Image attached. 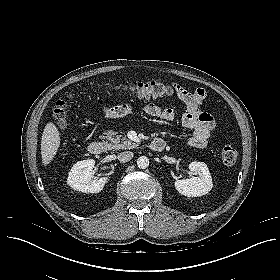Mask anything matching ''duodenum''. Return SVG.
Returning <instances> with one entry per match:
<instances>
[{"instance_id":"1","label":"duodenum","mask_w":280,"mask_h":280,"mask_svg":"<svg viewBox=\"0 0 280 280\" xmlns=\"http://www.w3.org/2000/svg\"><path fill=\"white\" fill-rule=\"evenodd\" d=\"M164 148L165 142L161 138H155L150 144V149L153 151H162ZM88 151L92 155H101L105 151V144L102 141H93L88 145Z\"/></svg>"}]
</instances>
